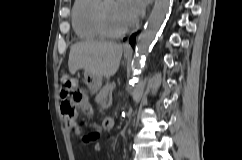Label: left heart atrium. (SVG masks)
Here are the masks:
<instances>
[{"mask_svg": "<svg viewBox=\"0 0 242 160\" xmlns=\"http://www.w3.org/2000/svg\"><path fill=\"white\" fill-rule=\"evenodd\" d=\"M128 24L136 21L144 12V0H118Z\"/></svg>", "mask_w": 242, "mask_h": 160, "instance_id": "1", "label": "left heart atrium"}]
</instances>
